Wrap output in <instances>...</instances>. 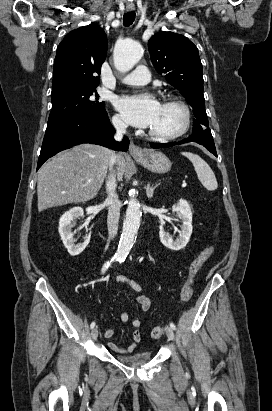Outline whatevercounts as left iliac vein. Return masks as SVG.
Instances as JSON below:
<instances>
[{
	"label": "left iliac vein",
	"instance_id": "4c4485c4",
	"mask_svg": "<svg viewBox=\"0 0 272 411\" xmlns=\"http://www.w3.org/2000/svg\"><path fill=\"white\" fill-rule=\"evenodd\" d=\"M166 335L170 340H174V338H175L174 331L171 327L166 328Z\"/></svg>",
	"mask_w": 272,
	"mask_h": 411
}]
</instances>
